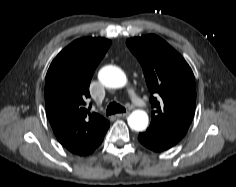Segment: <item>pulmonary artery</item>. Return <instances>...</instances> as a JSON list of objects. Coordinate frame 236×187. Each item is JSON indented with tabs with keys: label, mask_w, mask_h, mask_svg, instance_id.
Instances as JSON below:
<instances>
[{
	"label": "pulmonary artery",
	"mask_w": 236,
	"mask_h": 187,
	"mask_svg": "<svg viewBox=\"0 0 236 187\" xmlns=\"http://www.w3.org/2000/svg\"><path fill=\"white\" fill-rule=\"evenodd\" d=\"M127 93H128L130 98H132L133 100L137 101V96H136L135 90L133 88H129L127 90Z\"/></svg>",
	"instance_id": "e3ab8cb5"
}]
</instances>
